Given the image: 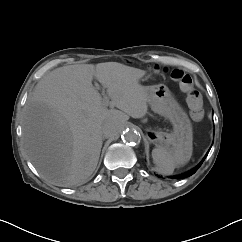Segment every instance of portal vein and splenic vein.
I'll list each match as a JSON object with an SVG mask.
<instances>
[{"label": "portal vein and splenic vein", "instance_id": "1", "mask_svg": "<svg viewBox=\"0 0 242 242\" xmlns=\"http://www.w3.org/2000/svg\"><path fill=\"white\" fill-rule=\"evenodd\" d=\"M102 95H103V104L105 106L111 105L113 107L114 105H113L112 101H110L109 96H107V94L105 93L104 90L102 91Z\"/></svg>", "mask_w": 242, "mask_h": 242}]
</instances>
